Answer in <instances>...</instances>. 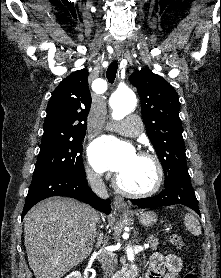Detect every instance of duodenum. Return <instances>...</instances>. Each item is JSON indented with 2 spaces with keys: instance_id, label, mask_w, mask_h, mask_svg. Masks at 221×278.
<instances>
[{
  "instance_id": "410a0bca",
  "label": "duodenum",
  "mask_w": 221,
  "mask_h": 278,
  "mask_svg": "<svg viewBox=\"0 0 221 278\" xmlns=\"http://www.w3.org/2000/svg\"><path fill=\"white\" fill-rule=\"evenodd\" d=\"M118 278H135V274L131 269H127Z\"/></svg>"
}]
</instances>
